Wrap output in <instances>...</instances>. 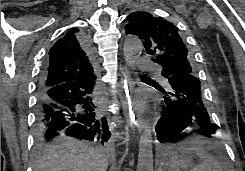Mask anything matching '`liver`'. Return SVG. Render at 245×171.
<instances>
[{
  "mask_svg": "<svg viewBox=\"0 0 245 171\" xmlns=\"http://www.w3.org/2000/svg\"><path fill=\"white\" fill-rule=\"evenodd\" d=\"M48 146L34 162V171H106L108 159L97 148L72 138Z\"/></svg>",
  "mask_w": 245,
  "mask_h": 171,
  "instance_id": "6515ba94",
  "label": "liver"
}]
</instances>
